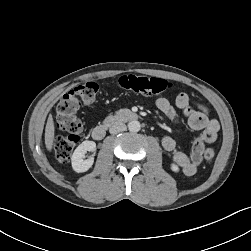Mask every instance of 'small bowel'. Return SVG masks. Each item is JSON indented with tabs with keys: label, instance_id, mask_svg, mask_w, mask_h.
<instances>
[{
	"label": "small bowel",
	"instance_id": "small-bowel-1",
	"mask_svg": "<svg viewBox=\"0 0 251 251\" xmlns=\"http://www.w3.org/2000/svg\"><path fill=\"white\" fill-rule=\"evenodd\" d=\"M155 105L159 111L175 122L180 119L178 109L187 120L188 125L192 129L200 131V135L195 140L190 154L178 150L175 140L170 136L163 137L161 142L164 150L171 155L173 162L181 171L186 176H193L202 162L205 144L213 143L217 139L218 122L210 117L206 106L192 103L188 94L183 92L177 95L175 107L165 97L157 98Z\"/></svg>",
	"mask_w": 251,
	"mask_h": 251
}]
</instances>
